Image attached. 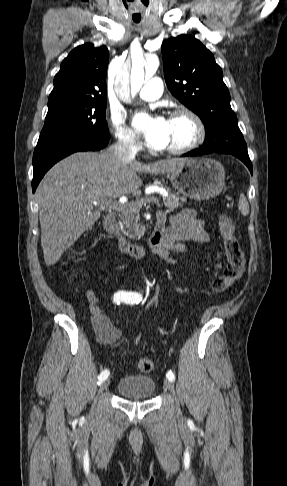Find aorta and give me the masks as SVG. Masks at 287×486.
Instances as JSON below:
<instances>
[{"instance_id": "762f6f07", "label": "aorta", "mask_w": 287, "mask_h": 486, "mask_svg": "<svg viewBox=\"0 0 287 486\" xmlns=\"http://www.w3.org/2000/svg\"><path fill=\"white\" fill-rule=\"evenodd\" d=\"M158 67L159 60L155 56L148 60L145 65V71L142 62L133 63L130 77L127 76L126 72H122L117 76L115 82L117 95L123 100H126L130 93L132 96L136 95L144 84L145 79L152 77Z\"/></svg>"}]
</instances>
